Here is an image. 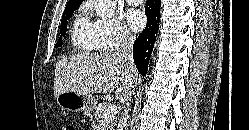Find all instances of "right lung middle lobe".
I'll return each instance as SVG.
<instances>
[{"label": "right lung middle lobe", "mask_w": 249, "mask_h": 130, "mask_svg": "<svg viewBox=\"0 0 249 130\" xmlns=\"http://www.w3.org/2000/svg\"><path fill=\"white\" fill-rule=\"evenodd\" d=\"M79 5L80 4H70L66 6L61 20V32H60L61 36L55 45L56 48L61 46V38L66 33L67 29V24H68L67 20L72 16L73 12L79 7Z\"/></svg>", "instance_id": "right-lung-middle-lobe-1"}]
</instances>
